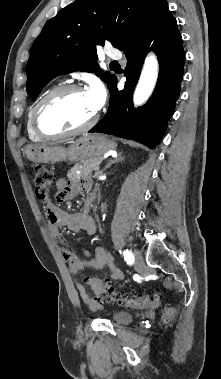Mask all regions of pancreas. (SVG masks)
<instances>
[{
  "instance_id": "1",
  "label": "pancreas",
  "mask_w": 221,
  "mask_h": 379,
  "mask_svg": "<svg viewBox=\"0 0 221 379\" xmlns=\"http://www.w3.org/2000/svg\"><path fill=\"white\" fill-rule=\"evenodd\" d=\"M100 159L83 160L80 163H76L71 170L68 171L67 177L70 180L80 178V175L76 171H80L83 175H91L93 171L98 172Z\"/></svg>"
}]
</instances>
